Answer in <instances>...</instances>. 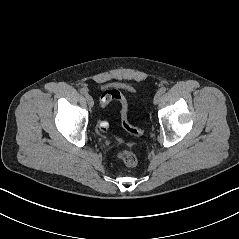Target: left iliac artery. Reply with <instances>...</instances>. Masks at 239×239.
<instances>
[{
	"instance_id": "1",
	"label": "left iliac artery",
	"mask_w": 239,
	"mask_h": 239,
	"mask_svg": "<svg viewBox=\"0 0 239 239\" xmlns=\"http://www.w3.org/2000/svg\"><path fill=\"white\" fill-rule=\"evenodd\" d=\"M158 92L164 94L166 92V87H161Z\"/></svg>"
}]
</instances>
